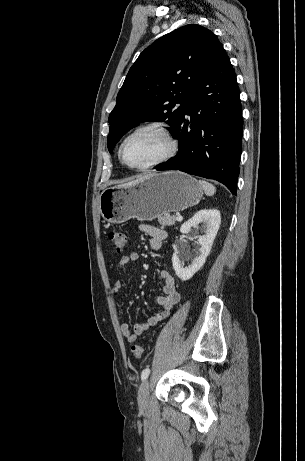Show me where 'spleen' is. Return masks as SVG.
<instances>
[{
  "label": "spleen",
  "mask_w": 305,
  "mask_h": 461,
  "mask_svg": "<svg viewBox=\"0 0 305 461\" xmlns=\"http://www.w3.org/2000/svg\"><path fill=\"white\" fill-rule=\"evenodd\" d=\"M199 184L207 196H212L215 194L216 188L211 183L204 180H199Z\"/></svg>",
  "instance_id": "spleen-1"
}]
</instances>
